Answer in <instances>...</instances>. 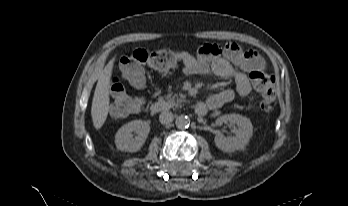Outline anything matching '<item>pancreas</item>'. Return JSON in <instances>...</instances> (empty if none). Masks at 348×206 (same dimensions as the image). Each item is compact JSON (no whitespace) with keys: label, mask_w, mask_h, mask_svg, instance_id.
I'll return each instance as SVG.
<instances>
[{"label":"pancreas","mask_w":348,"mask_h":206,"mask_svg":"<svg viewBox=\"0 0 348 206\" xmlns=\"http://www.w3.org/2000/svg\"><path fill=\"white\" fill-rule=\"evenodd\" d=\"M185 95L183 94H172L169 93L168 95L165 96V99L168 101V103L174 107V106H181L182 103L186 102Z\"/></svg>","instance_id":"obj_1"}]
</instances>
